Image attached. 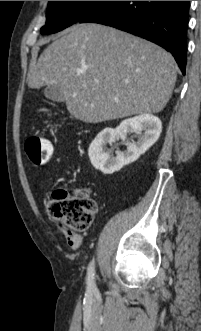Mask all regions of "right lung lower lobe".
<instances>
[{
    "mask_svg": "<svg viewBox=\"0 0 201 331\" xmlns=\"http://www.w3.org/2000/svg\"><path fill=\"white\" fill-rule=\"evenodd\" d=\"M190 1H105L79 23L93 22L132 33L170 51L186 68Z\"/></svg>",
    "mask_w": 201,
    "mask_h": 331,
    "instance_id": "right-lung-lower-lobe-1",
    "label": "right lung lower lobe"
}]
</instances>
